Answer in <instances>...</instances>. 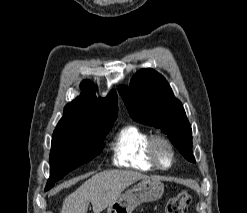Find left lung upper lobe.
Returning <instances> with one entry per match:
<instances>
[{"instance_id": "5c2ea615", "label": "left lung upper lobe", "mask_w": 247, "mask_h": 213, "mask_svg": "<svg viewBox=\"0 0 247 213\" xmlns=\"http://www.w3.org/2000/svg\"><path fill=\"white\" fill-rule=\"evenodd\" d=\"M118 91L135 121L160 128L179 152L195 163L190 123L182 103L162 75L153 69H142L133 76L129 88L119 86Z\"/></svg>"}]
</instances>
